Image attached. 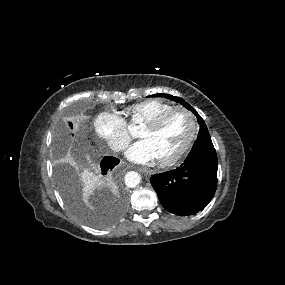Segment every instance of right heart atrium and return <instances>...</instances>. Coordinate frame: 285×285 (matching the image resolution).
Masks as SVG:
<instances>
[{
  "label": "right heart atrium",
  "instance_id": "d8ad5b80",
  "mask_svg": "<svg viewBox=\"0 0 285 285\" xmlns=\"http://www.w3.org/2000/svg\"><path fill=\"white\" fill-rule=\"evenodd\" d=\"M97 136L113 150L121 151L130 142V134L125 121L112 112H102L94 119Z\"/></svg>",
  "mask_w": 285,
  "mask_h": 285
}]
</instances>
